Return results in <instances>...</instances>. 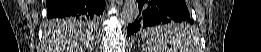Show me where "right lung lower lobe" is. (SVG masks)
<instances>
[{"label":"right lung lower lobe","mask_w":261,"mask_h":52,"mask_svg":"<svg viewBox=\"0 0 261 52\" xmlns=\"http://www.w3.org/2000/svg\"><path fill=\"white\" fill-rule=\"evenodd\" d=\"M104 0H47V18L84 16L98 19L104 10Z\"/></svg>","instance_id":"98d812e1"}]
</instances>
